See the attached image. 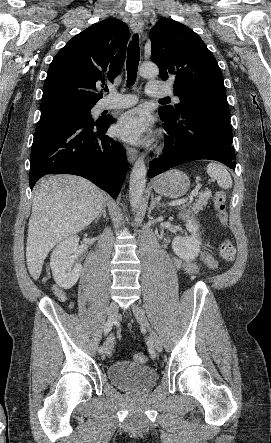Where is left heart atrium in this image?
Listing matches in <instances>:
<instances>
[{
    "label": "left heart atrium",
    "mask_w": 271,
    "mask_h": 443,
    "mask_svg": "<svg viewBox=\"0 0 271 443\" xmlns=\"http://www.w3.org/2000/svg\"><path fill=\"white\" fill-rule=\"evenodd\" d=\"M150 120L146 111L132 109L123 113L114 126L115 136L133 145H143L149 139Z\"/></svg>",
    "instance_id": "39dd6f15"
}]
</instances>
